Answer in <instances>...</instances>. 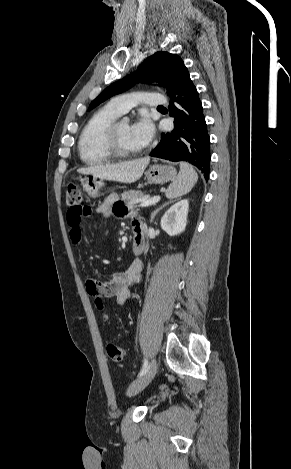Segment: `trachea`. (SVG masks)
Returning <instances> with one entry per match:
<instances>
[{"instance_id":"trachea-1","label":"trachea","mask_w":291,"mask_h":469,"mask_svg":"<svg viewBox=\"0 0 291 469\" xmlns=\"http://www.w3.org/2000/svg\"><path fill=\"white\" fill-rule=\"evenodd\" d=\"M158 108H163V106H159Z\"/></svg>"}]
</instances>
